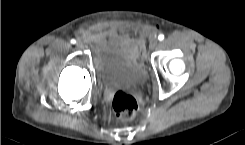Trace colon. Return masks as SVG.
<instances>
[{"mask_svg": "<svg viewBox=\"0 0 245 145\" xmlns=\"http://www.w3.org/2000/svg\"><path fill=\"white\" fill-rule=\"evenodd\" d=\"M111 107L115 115L123 119H131L139 110L138 100L124 89L114 91Z\"/></svg>", "mask_w": 245, "mask_h": 145, "instance_id": "obj_1", "label": "colon"}]
</instances>
